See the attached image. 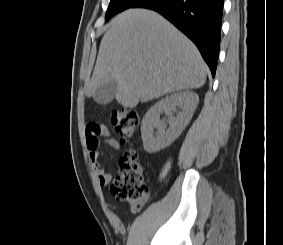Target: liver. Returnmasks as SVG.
I'll use <instances>...</instances> for the list:
<instances>
[{"label": "liver", "mask_w": 283, "mask_h": 245, "mask_svg": "<svg viewBox=\"0 0 283 245\" xmlns=\"http://www.w3.org/2000/svg\"><path fill=\"white\" fill-rule=\"evenodd\" d=\"M207 66L196 46L169 21L147 9H128L104 34L86 94L115 81L116 101L134 108L165 94L204 85Z\"/></svg>", "instance_id": "liver-1"}]
</instances>
